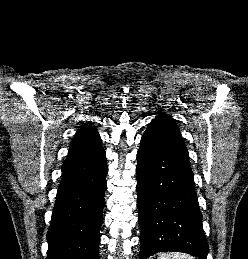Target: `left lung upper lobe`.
Masks as SVG:
<instances>
[{
  "mask_svg": "<svg viewBox=\"0 0 248 259\" xmlns=\"http://www.w3.org/2000/svg\"><path fill=\"white\" fill-rule=\"evenodd\" d=\"M159 115L150 122L141 140L159 146L189 163L188 151L175 120L166 114Z\"/></svg>",
  "mask_w": 248,
  "mask_h": 259,
  "instance_id": "obj_1",
  "label": "left lung upper lobe"
}]
</instances>
